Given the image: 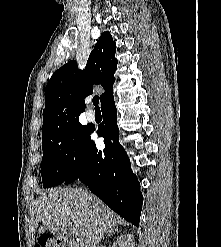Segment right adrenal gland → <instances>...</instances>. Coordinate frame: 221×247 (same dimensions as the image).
Here are the masks:
<instances>
[{
	"label": "right adrenal gland",
	"mask_w": 221,
	"mask_h": 247,
	"mask_svg": "<svg viewBox=\"0 0 221 247\" xmlns=\"http://www.w3.org/2000/svg\"><path fill=\"white\" fill-rule=\"evenodd\" d=\"M113 232H118V229L110 230L107 232V235H111Z\"/></svg>",
	"instance_id": "1"
}]
</instances>
